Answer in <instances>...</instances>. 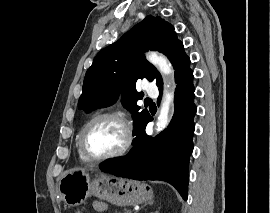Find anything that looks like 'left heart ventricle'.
Returning a JSON list of instances; mask_svg holds the SVG:
<instances>
[{
    "label": "left heart ventricle",
    "instance_id": "1",
    "mask_svg": "<svg viewBox=\"0 0 270 213\" xmlns=\"http://www.w3.org/2000/svg\"><path fill=\"white\" fill-rule=\"evenodd\" d=\"M125 141V128L117 120L101 119L87 131L85 144L88 152L101 157L119 150Z\"/></svg>",
    "mask_w": 270,
    "mask_h": 213
}]
</instances>
